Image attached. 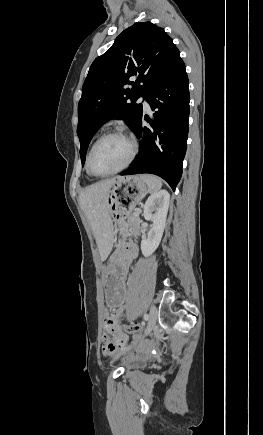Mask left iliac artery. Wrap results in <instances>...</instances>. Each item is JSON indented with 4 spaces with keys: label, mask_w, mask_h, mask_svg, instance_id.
<instances>
[{
    "label": "left iliac artery",
    "mask_w": 263,
    "mask_h": 435,
    "mask_svg": "<svg viewBox=\"0 0 263 435\" xmlns=\"http://www.w3.org/2000/svg\"><path fill=\"white\" fill-rule=\"evenodd\" d=\"M149 319V315L148 314H144V320L147 321Z\"/></svg>",
    "instance_id": "obj_1"
}]
</instances>
